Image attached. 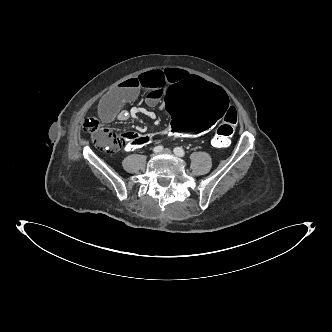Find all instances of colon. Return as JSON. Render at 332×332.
<instances>
[{
    "mask_svg": "<svg viewBox=\"0 0 332 332\" xmlns=\"http://www.w3.org/2000/svg\"><path fill=\"white\" fill-rule=\"evenodd\" d=\"M163 110L169 122L168 131L156 135L128 131L120 140L97 118L86 119L83 129L97 147L116 153L155 145L159 138L202 135L220 123L212 142L216 147H226L237 123V113L231 109L227 91L215 82L200 78L187 79L172 87L164 97Z\"/></svg>",
    "mask_w": 332,
    "mask_h": 332,
    "instance_id": "colon-1",
    "label": "colon"
}]
</instances>
